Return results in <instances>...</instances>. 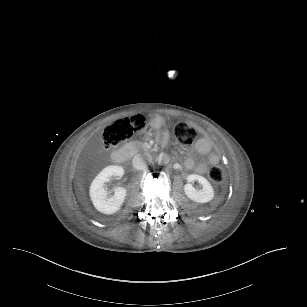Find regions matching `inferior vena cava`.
Here are the masks:
<instances>
[{
	"instance_id": "inferior-vena-cava-1",
	"label": "inferior vena cava",
	"mask_w": 307,
	"mask_h": 307,
	"mask_svg": "<svg viewBox=\"0 0 307 307\" xmlns=\"http://www.w3.org/2000/svg\"><path fill=\"white\" fill-rule=\"evenodd\" d=\"M132 164L133 167L137 170H144L147 167L146 161H144V159L140 155L134 156Z\"/></svg>"
}]
</instances>
